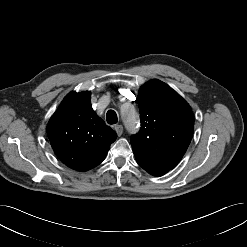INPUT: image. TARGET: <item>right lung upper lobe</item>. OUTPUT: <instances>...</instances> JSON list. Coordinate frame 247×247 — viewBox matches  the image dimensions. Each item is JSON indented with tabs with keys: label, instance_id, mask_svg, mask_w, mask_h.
Instances as JSON below:
<instances>
[{
	"label": "right lung upper lobe",
	"instance_id": "cb5924a9",
	"mask_svg": "<svg viewBox=\"0 0 247 247\" xmlns=\"http://www.w3.org/2000/svg\"><path fill=\"white\" fill-rule=\"evenodd\" d=\"M90 92H71L49 120L47 134L58 158L87 171L99 165L116 140L114 130L92 109Z\"/></svg>",
	"mask_w": 247,
	"mask_h": 247
}]
</instances>
